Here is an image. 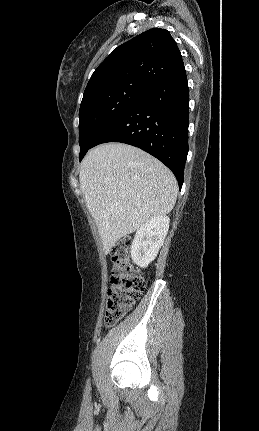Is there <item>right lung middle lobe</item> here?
Returning <instances> with one entry per match:
<instances>
[{"label":"right lung middle lobe","instance_id":"dd1d6c3e","mask_svg":"<svg viewBox=\"0 0 259 431\" xmlns=\"http://www.w3.org/2000/svg\"><path fill=\"white\" fill-rule=\"evenodd\" d=\"M140 84H125L94 93L81 102L79 111L80 161L97 137L146 91Z\"/></svg>","mask_w":259,"mask_h":431}]
</instances>
